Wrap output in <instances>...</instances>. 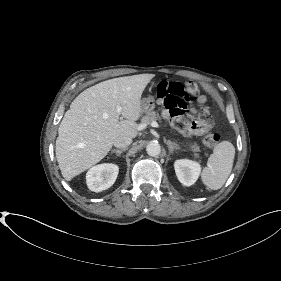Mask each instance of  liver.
I'll return each instance as SVG.
<instances>
[{"label": "liver", "mask_w": 281, "mask_h": 281, "mask_svg": "<svg viewBox=\"0 0 281 281\" xmlns=\"http://www.w3.org/2000/svg\"><path fill=\"white\" fill-rule=\"evenodd\" d=\"M151 78L139 74L106 80L73 100L59 125L55 149L65 180L100 162L117 137L138 135L141 96ZM117 106L122 108L121 120Z\"/></svg>", "instance_id": "1"}]
</instances>
